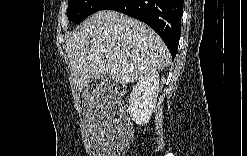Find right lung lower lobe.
Instances as JSON below:
<instances>
[{
    "label": "right lung lower lobe",
    "instance_id": "obj_1",
    "mask_svg": "<svg viewBox=\"0 0 247 156\" xmlns=\"http://www.w3.org/2000/svg\"><path fill=\"white\" fill-rule=\"evenodd\" d=\"M104 9L122 12L148 24L175 57L181 33L183 0H108L100 10Z\"/></svg>",
    "mask_w": 247,
    "mask_h": 156
}]
</instances>
